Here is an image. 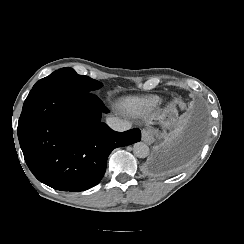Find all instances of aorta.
Segmentation results:
<instances>
[{
    "instance_id": "obj_1",
    "label": "aorta",
    "mask_w": 244,
    "mask_h": 244,
    "mask_svg": "<svg viewBox=\"0 0 244 244\" xmlns=\"http://www.w3.org/2000/svg\"><path fill=\"white\" fill-rule=\"evenodd\" d=\"M133 153L138 158H146L149 155V147L144 142H137L133 146Z\"/></svg>"
}]
</instances>
